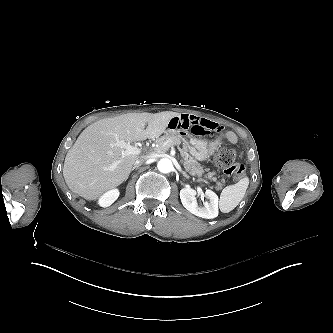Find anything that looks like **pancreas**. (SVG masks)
<instances>
[{
	"instance_id": "obj_1",
	"label": "pancreas",
	"mask_w": 333,
	"mask_h": 333,
	"mask_svg": "<svg viewBox=\"0 0 333 333\" xmlns=\"http://www.w3.org/2000/svg\"><path fill=\"white\" fill-rule=\"evenodd\" d=\"M157 146L154 148V152L156 153H164L171 146L174 145H180L181 144V138L177 136V134H166L164 136H161L156 140ZM181 156L184 159L183 165L185 170L192 176H197V177H202L203 174L205 173L206 170L203 169L201 164L193 158L191 155L188 153V148L187 144L183 145L182 151H181ZM215 172H208L206 174V177L208 179H211L216 182V190H221L222 187L225 184V180L222 179L220 182L217 181V179L214 177Z\"/></svg>"
}]
</instances>
